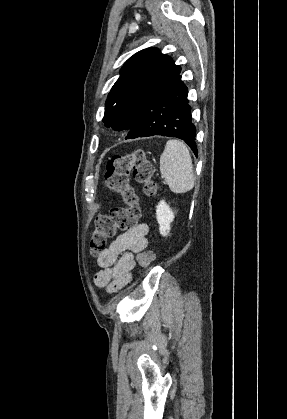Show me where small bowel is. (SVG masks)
<instances>
[{"instance_id": "small-bowel-1", "label": "small bowel", "mask_w": 287, "mask_h": 419, "mask_svg": "<svg viewBox=\"0 0 287 419\" xmlns=\"http://www.w3.org/2000/svg\"><path fill=\"white\" fill-rule=\"evenodd\" d=\"M147 232L146 224H138L118 235L98 255L100 270L94 276L97 286L106 288L109 293H115L131 282L135 253L147 247Z\"/></svg>"}]
</instances>
